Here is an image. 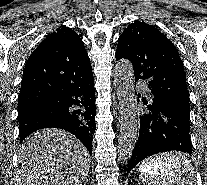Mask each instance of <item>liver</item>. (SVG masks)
Masks as SVG:
<instances>
[{"label": "liver", "mask_w": 207, "mask_h": 185, "mask_svg": "<svg viewBox=\"0 0 207 185\" xmlns=\"http://www.w3.org/2000/svg\"><path fill=\"white\" fill-rule=\"evenodd\" d=\"M11 185H82L90 165L86 147L63 129H40L23 141Z\"/></svg>", "instance_id": "1"}]
</instances>
